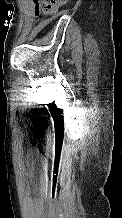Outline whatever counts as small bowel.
Returning <instances> with one entry per match:
<instances>
[{
  "instance_id": "obj_1",
  "label": "small bowel",
  "mask_w": 122,
  "mask_h": 218,
  "mask_svg": "<svg viewBox=\"0 0 122 218\" xmlns=\"http://www.w3.org/2000/svg\"><path fill=\"white\" fill-rule=\"evenodd\" d=\"M36 2V9H39L40 5H39V2L35 1Z\"/></svg>"
}]
</instances>
